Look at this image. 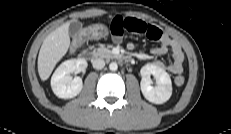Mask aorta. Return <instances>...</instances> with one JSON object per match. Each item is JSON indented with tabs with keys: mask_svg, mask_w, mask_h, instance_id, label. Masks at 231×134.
Instances as JSON below:
<instances>
[{
	"mask_svg": "<svg viewBox=\"0 0 231 134\" xmlns=\"http://www.w3.org/2000/svg\"><path fill=\"white\" fill-rule=\"evenodd\" d=\"M109 69L111 71H116L118 69V65L116 62H111L110 65H109Z\"/></svg>",
	"mask_w": 231,
	"mask_h": 134,
	"instance_id": "obj_1",
	"label": "aorta"
}]
</instances>
